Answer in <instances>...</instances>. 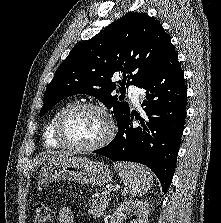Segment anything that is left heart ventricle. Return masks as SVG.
I'll use <instances>...</instances> for the list:
<instances>
[{
	"label": "left heart ventricle",
	"mask_w": 221,
	"mask_h": 223,
	"mask_svg": "<svg viewBox=\"0 0 221 223\" xmlns=\"http://www.w3.org/2000/svg\"><path fill=\"white\" fill-rule=\"evenodd\" d=\"M103 115L91 109L70 113L63 123L64 138L75 145L88 146L99 141L107 132Z\"/></svg>",
	"instance_id": "1"
}]
</instances>
